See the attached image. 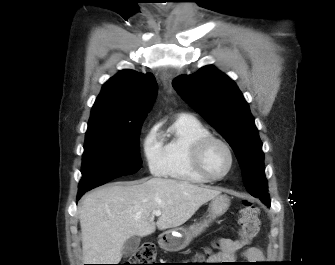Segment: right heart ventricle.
<instances>
[{"label": "right heart ventricle", "mask_w": 335, "mask_h": 265, "mask_svg": "<svg viewBox=\"0 0 335 265\" xmlns=\"http://www.w3.org/2000/svg\"><path fill=\"white\" fill-rule=\"evenodd\" d=\"M209 129L191 115H180L171 124L162 139L164 175L190 184H203L208 180L195 170L192 163L194 145L210 135Z\"/></svg>", "instance_id": "e07e8e85"}]
</instances>
